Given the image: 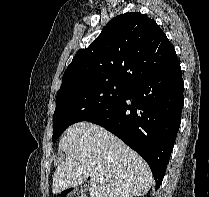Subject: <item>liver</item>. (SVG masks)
Listing matches in <instances>:
<instances>
[{"label":"liver","instance_id":"1","mask_svg":"<svg viewBox=\"0 0 209 197\" xmlns=\"http://www.w3.org/2000/svg\"><path fill=\"white\" fill-rule=\"evenodd\" d=\"M59 149L66 158L54 172L53 194L82 184L89 177L90 197H136L151 187L153 176L145 160L99 125L73 124L61 137Z\"/></svg>","mask_w":209,"mask_h":197}]
</instances>
